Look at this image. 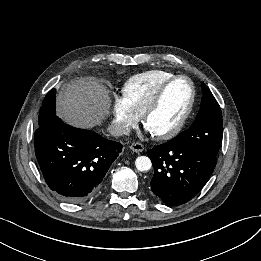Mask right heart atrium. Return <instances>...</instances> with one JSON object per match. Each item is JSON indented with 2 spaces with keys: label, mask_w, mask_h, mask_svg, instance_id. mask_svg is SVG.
Wrapping results in <instances>:
<instances>
[{
  "label": "right heart atrium",
  "mask_w": 261,
  "mask_h": 261,
  "mask_svg": "<svg viewBox=\"0 0 261 261\" xmlns=\"http://www.w3.org/2000/svg\"><path fill=\"white\" fill-rule=\"evenodd\" d=\"M112 127L118 134H127L138 123L139 116L123 96H116L112 104Z\"/></svg>",
  "instance_id": "1"
}]
</instances>
